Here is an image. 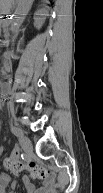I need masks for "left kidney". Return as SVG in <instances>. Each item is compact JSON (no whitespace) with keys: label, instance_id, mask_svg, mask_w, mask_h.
<instances>
[{"label":"left kidney","instance_id":"obj_1","mask_svg":"<svg viewBox=\"0 0 103 193\" xmlns=\"http://www.w3.org/2000/svg\"><path fill=\"white\" fill-rule=\"evenodd\" d=\"M47 15L48 14L46 9H40L34 14L35 26L37 28L43 24Z\"/></svg>","mask_w":103,"mask_h":193}]
</instances>
